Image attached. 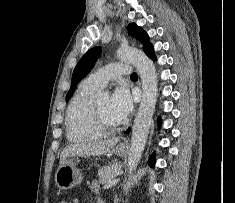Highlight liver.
I'll return each instance as SVG.
<instances>
[{"label":"liver","instance_id":"liver-1","mask_svg":"<svg viewBox=\"0 0 235 203\" xmlns=\"http://www.w3.org/2000/svg\"><path fill=\"white\" fill-rule=\"evenodd\" d=\"M119 138H111L105 140H95L83 142L79 144H70L66 146L60 155V165L70 157L78 156H100L110 152V150L118 143Z\"/></svg>","mask_w":235,"mask_h":203}]
</instances>
